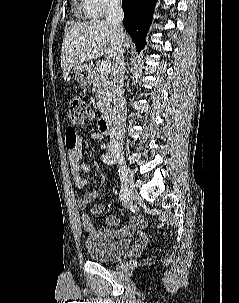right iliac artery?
Segmentation results:
<instances>
[{"label":"right iliac artery","instance_id":"82829eb1","mask_svg":"<svg viewBox=\"0 0 239 303\" xmlns=\"http://www.w3.org/2000/svg\"><path fill=\"white\" fill-rule=\"evenodd\" d=\"M102 159H103V162L104 163H107L108 165H112V164H114V162L115 161H113L112 160V158L109 156V155H107V154H105V155H103L102 156ZM118 176H119V182H122V187H121V191H120V199L121 200H125L126 198H127V196H128V193H127V187H126V185L125 184H123V182H125V171H123V170H118Z\"/></svg>","mask_w":239,"mask_h":303}]
</instances>
